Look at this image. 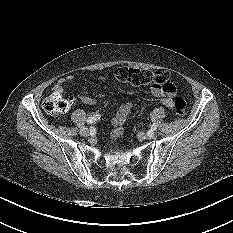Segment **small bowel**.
Instances as JSON below:
<instances>
[{
    "label": "small bowel",
    "instance_id": "c3829d8e",
    "mask_svg": "<svg viewBox=\"0 0 233 233\" xmlns=\"http://www.w3.org/2000/svg\"><path fill=\"white\" fill-rule=\"evenodd\" d=\"M72 80H73L72 75H68V76L60 79L58 81V83L54 86L53 93H57V94L62 95L64 92L65 83L71 82ZM150 92L154 96L162 98L161 99L162 104L165 105L167 108L173 109V103H172L171 97L168 96V95H170L168 92H166L158 87H151ZM78 97L85 104H94L95 103V100L90 98V97L83 96V95H79ZM131 107H132L131 103H125V104L121 105L120 108L118 109L116 115L113 117L112 123L114 126V130H113L112 137L114 139H119L123 135L122 125L125 122L128 114L131 110Z\"/></svg>",
    "mask_w": 233,
    "mask_h": 233
}]
</instances>
